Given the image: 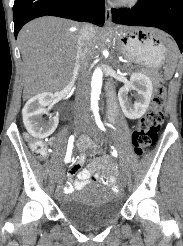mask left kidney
Here are the masks:
<instances>
[{
	"label": "left kidney",
	"mask_w": 183,
	"mask_h": 246,
	"mask_svg": "<svg viewBox=\"0 0 183 246\" xmlns=\"http://www.w3.org/2000/svg\"><path fill=\"white\" fill-rule=\"evenodd\" d=\"M130 90H135V102L129 100L127 94ZM153 85L151 79L140 72H133L130 83L119 89L118 100L124 115L129 119L142 117L149 107Z\"/></svg>",
	"instance_id": "1"
}]
</instances>
